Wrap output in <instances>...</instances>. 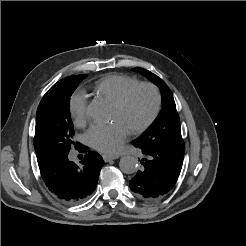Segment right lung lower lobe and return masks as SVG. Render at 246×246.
<instances>
[{
    "label": "right lung lower lobe",
    "mask_w": 246,
    "mask_h": 246,
    "mask_svg": "<svg viewBox=\"0 0 246 246\" xmlns=\"http://www.w3.org/2000/svg\"><path fill=\"white\" fill-rule=\"evenodd\" d=\"M77 150L85 153L81 165L68 159V154L46 159L39 163L41 177L49 191L65 203L74 204L87 199L95 190L102 157L89 148L79 145Z\"/></svg>",
    "instance_id": "right-lung-lower-lobe-1"
}]
</instances>
